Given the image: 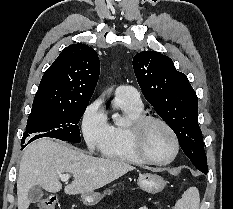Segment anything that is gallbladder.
Returning a JSON list of instances; mask_svg holds the SVG:
<instances>
[{
  "label": "gallbladder",
  "instance_id": "bac80fb5",
  "mask_svg": "<svg viewBox=\"0 0 233 209\" xmlns=\"http://www.w3.org/2000/svg\"><path fill=\"white\" fill-rule=\"evenodd\" d=\"M43 196V191L39 186H34L30 188L28 192V198L31 203H37Z\"/></svg>",
  "mask_w": 233,
  "mask_h": 209
}]
</instances>
